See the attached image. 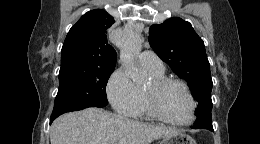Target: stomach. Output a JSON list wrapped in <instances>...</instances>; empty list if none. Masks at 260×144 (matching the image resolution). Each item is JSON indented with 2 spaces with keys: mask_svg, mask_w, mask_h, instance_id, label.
<instances>
[{
  "mask_svg": "<svg viewBox=\"0 0 260 144\" xmlns=\"http://www.w3.org/2000/svg\"><path fill=\"white\" fill-rule=\"evenodd\" d=\"M160 144H196V142L189 135L178 131L177 133L164 137Z\"/></svg>",
  "mask_w": 260,
  "mask_h": 144,
  "instance_id": "0dacf381",
  "label": "stomach"
}]
</instances>
